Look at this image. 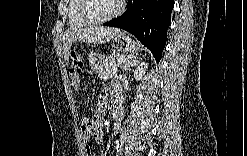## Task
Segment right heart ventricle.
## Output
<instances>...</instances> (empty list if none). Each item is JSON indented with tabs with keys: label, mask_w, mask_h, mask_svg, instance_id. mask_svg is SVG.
<instances>
[{
	"label": "right heart ventricle",
	"mask_w": 247,
	"mask_h": 156,
	"mask_svg": "<svg viewBox=\"0 0 247 156\" xmlns=\"http://www.w3.org/2000/svg\"><path fill=\"white\" fill-rule=\"evenodd\" d=\"M82 0H71L67 9L68 23L72 29H79L88 24L80 16V5Z\"/></svg>",
	"instance_id": "obj_1"
}]
</instances>
